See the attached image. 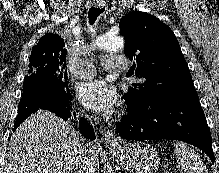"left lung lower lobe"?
<instances>
[{
    "label": "left lung lower lobe",
    "instance_id": "1",
    "mask_svg": "<svg viewBox=\"0 0 219 173\" xmlns=\"http://www.w3.org/2000/svg\"><path fill=\"white\" fill-rule=\"evenodd\" d=\"M127 115L117 122L127 140H181L203 150L214 163L212 139L198 95L152 106L127 104Z\"/></svg>",
    "mask_w": 219,
    "mask_h": 173
}]
</instances>
